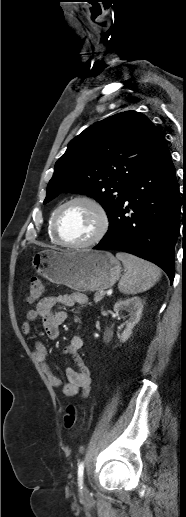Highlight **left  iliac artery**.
Wrapping results in <instances>:
<instances>
[{"label": "left iliac artery", "instance_id": "obj_1", "mask_svg": "<svg viewBox=\"0 0 186 517\" xmlns=\"http://www.w3.org/2000/svg\"><path fill=\"white\" fill-rule=\"evenodd\" d=\"M83 475H84V462H81L78 466V483L79 486L82 487L83 483Z\"/></svg>", "mask_w": 186, "mask_h": 517}]
</instances>
